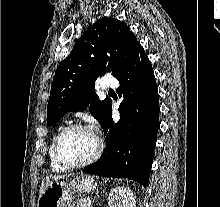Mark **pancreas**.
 Masks as SVG:
<instances>
[{"mask_svg": "<svg viewBox=\"0 0 220 207\" xmlns=\"http://www.w3.org/2000/svg\"><path fill=\"white\" fill-rule=\"evenodd\" d=\"M71 207H90L85 199L73 203Z\"/></svg>", "mask_w": 220, "mask_h": 207, "instance_id": "1", "label": "pancreas"}]
</instances>
